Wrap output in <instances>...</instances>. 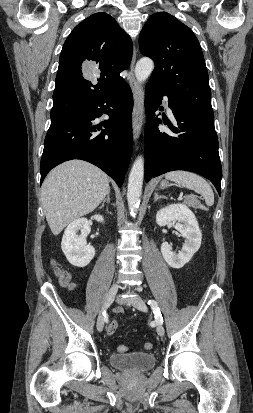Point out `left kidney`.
<instances>
[{"label": "left kidney", "mask_w": 253, "mask_h": 413, "mask_svg": "<svg viewBox=\"0 0 253 413\" xmlns=\"http://www.w3.org/2000/svg\"><path fill=\"white\" fill-rule=\"evenodd\" d=\"M169 222L185 238L182 249L175 253L168 242L161 245V253L167 264L175 269L182 268L201 246L202 233L193 212L184 204H171L160 209L156 214V223L165 226Z\"/></svg>", "instance_id": "1"}]
</instances>
